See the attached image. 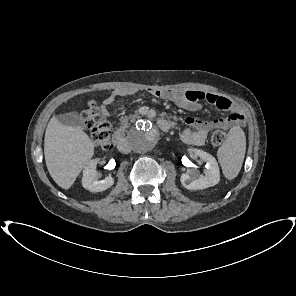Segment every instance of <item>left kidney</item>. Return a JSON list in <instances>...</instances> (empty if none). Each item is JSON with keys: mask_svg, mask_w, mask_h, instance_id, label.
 Returning <instances> with one entry per match:
<instances>
[{"mask_svg": "<svg viewBox=\"0 0 296 296\" xmlns=\"http://www.w3.org/2000/svg\"><path fill=\"white\" fill-rule=\"evenodd\" d=\"M189 151L206 162V171L205 175H199L194 172L183 173L180 178L182 186L188 190H201L218 184L220 181V170L216 159L211 154L199 149H190Z\"/></svg>", "mask_w": 296, "mask_h": 296, "instance_id": "5707ae66", "label": "left kidney"}]
</instances>
